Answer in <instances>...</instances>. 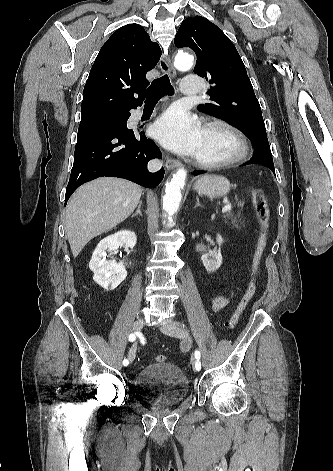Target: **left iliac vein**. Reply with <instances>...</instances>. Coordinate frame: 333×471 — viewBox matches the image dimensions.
<instances>
[{"label":"left iliac vein","mask_w":333,"mask_h":471,"mask_svg":"<svg viewBox=\"0 0 333 471\" xmlns=\"http://www.w3.org/2000/svg\"><path fill=\"white\" fill-rule=\"evenodd\" d=\"M160 330L169 336L181 339L186 346L190 344V337L186 330L172 324H161ZM191 363L194 364V358H191Z\"/></svg>","instance_id":"4c4485c4"}]
</instances>
